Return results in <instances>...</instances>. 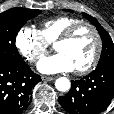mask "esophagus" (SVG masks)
I'll use <instances>...</instances> for the list:
<instances>
[{"label": "esophagus", "instance_id": "1", "mask_svg": "<svg viewBox=\"0 0 114 114\" xmlns=\"http://www.w3.org/2000/svg\"><path fill=\"white\" fill-rule=\"evenodd\" d=\"M42 80L43 81H52V80H54V77H51V76H42Z\"/></svg>", "mask_w": 114, "mask_h": 114}]
</instances>
